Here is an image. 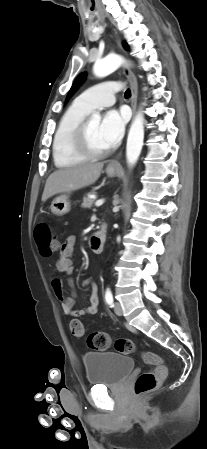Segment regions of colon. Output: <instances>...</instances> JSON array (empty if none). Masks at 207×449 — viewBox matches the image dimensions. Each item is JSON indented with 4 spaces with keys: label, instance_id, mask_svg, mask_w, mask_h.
<instances>
[{
    "label": "colon",
    "instance_id": "5ec220e1",
    "mask_svg": "<svg viewBox=\"0 0 207 449\" xmlns=\"http://www.w3.org/2000/svg\"><path fill=\"white\" fill-rule=\"evenodd\" d=\"M34 238L41 255L44 257L52 256L59 246V240L55 232L45 223H38L35 226ZM69 326L71 333L75 337L81 338L85 336V328L80 320L72 319ZM87 344L91 349L97 351H105L112 346L120 354L131 355L139 353L144 363L154 367L153 371L143 372L136 379L134 392L138 396L155 391L159 387L161 379L167 374V367L160 356L151 351L138 350L130 339L119 338L112 341L108 333L93 332L88 335Z\"/></svg>",
    "mask_w": 207,
    "mask_h": 449
}]
</instances>
